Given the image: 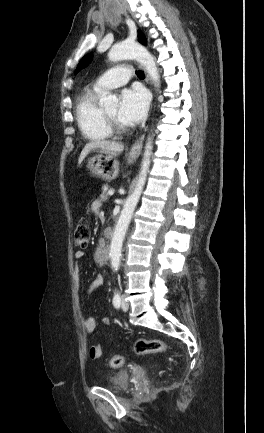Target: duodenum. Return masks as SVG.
Wrapping results in <instances>:
<instances>
[{
  "mask_svg": "<svg viewBox=\"0 0 264 433\" xmlns=\"http://www.w3.org/2000/svg\"><path fill=\"white\" fill-rule=\"evenodd\" d=\"M114 234L113 228L108 227L106 230V235L112 237ZM109 249L107 246H101L96 250V261L98 263L104 264L108 259Z\"/></svg>",
  "mask_w": 264,
  "mask_h": 433,
  "instance_id": "410a0bca",
  "label": "duodenum"
}]
</instances>
